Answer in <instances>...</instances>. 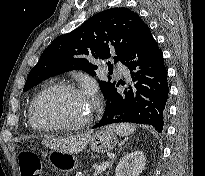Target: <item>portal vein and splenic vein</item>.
Listing matches in <instances>:
<instances>
[{
  "instance_id": "portal-vein-and-splenic-vein-1",
  "label": "portal vein and splenic vein",
  "mask_w": 205,
  "mask_h": 176,
  "mask_svg": "<svg viewBox=\"0 0 205 176\" xmlns=\"http://www.w3.org/2000/svg\"><path fill=\"white\" fill-rule=\"evenodd\" d=\"M109 166L108 162L103 163L101 166L96 168V172H95V176H97L98 174H101L102 172H104L107 167Z\"/></svg>"
}]
</instances>
